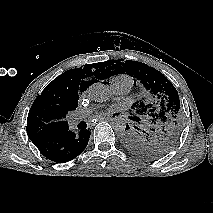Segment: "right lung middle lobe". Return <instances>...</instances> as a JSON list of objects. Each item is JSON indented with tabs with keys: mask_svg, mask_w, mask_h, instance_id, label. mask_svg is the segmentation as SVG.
Returning <instances> with one entry per match:
<instances>
[{
	"mask_svg": "<svg viewBox=\"0 0 213 213\" xmlns=\"http://www.w3.org/2000/svg\"><path fill=\"white\" fill-rule=\"evenodd\" d=\"M68 109L50 108L45 110L41 116L36 119V128L42 134H47L53 131L61 121L62 117H66Z\"/></svg>",
	"mask_w": 213,
	"mask_h": 213,
	"instance_id": "obj_1",
	"label": "right lung middle lobe"
}]
</instances>
